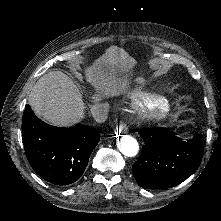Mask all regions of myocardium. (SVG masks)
Here are the masks:
<instances>
[{"mask_svg": "<svg viewBox=\"0 0 221 221\" xmlns=\"http://www.w3.org/2000/svg\"><path fill=\"white\" fill-rule=\"evenodd\" d=\"M147 118L153 124H162L168 118V109L162 103H153L147 109Z\"/></svg>", "mask_w": 221, "mask_h": 221, "instance_id": "1", "label": "myocardium"}]
</instances>
